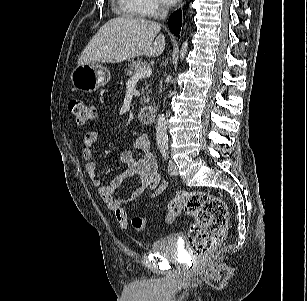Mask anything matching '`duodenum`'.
Wrapping results in <instances>:
<instances>
[{
	"mask_svg": "<svg viewBox=\"0 0 307 301\" xmlns=\"http://www.w3.org/2000/svg\"><path fill=\"white\" fill-rule=\"evenodd\" d=\"M156 117V109L154 106H147L138 111V121L144 125H150Z\"/></svg>",
	"mask_w": 307,
	"mask_h": 301,
	"instance_id": "1",
	"label": "duodenum"
}]
</instances>
